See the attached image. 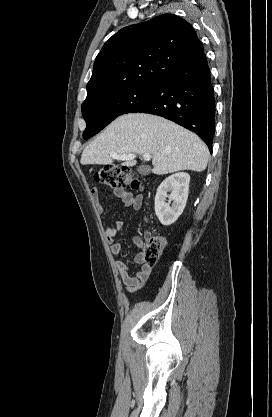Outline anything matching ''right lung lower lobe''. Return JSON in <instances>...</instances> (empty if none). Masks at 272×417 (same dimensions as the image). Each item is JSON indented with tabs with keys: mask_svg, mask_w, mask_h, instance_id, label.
Segmentation results:
<instances>
[{
	"mask_svg": "<svg viewBox=\"0 0 272 417\" xmlns=\"http://www.w3.org/2000/svg\"><path fill=\"white\" fill-rule=\"evenodd\" d=\"M137 112L162 116L193 131L212 152L215 100L205 53L170 73L153 95L132 111Z\"/></svg>",
	"mask_w": 272,
	"mask_h": 417,
	"instance_id": "98d812e1",
	"label": "right lung lower lobe"
}]
</instances>
